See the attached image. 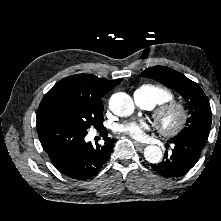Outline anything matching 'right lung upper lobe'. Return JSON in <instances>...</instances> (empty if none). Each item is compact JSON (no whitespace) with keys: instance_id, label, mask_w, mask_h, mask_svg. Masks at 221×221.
<instances>
[{"instance_id":"cb5924a9","label":"right lung upper lobe","mask_w":221,"mask_h":221,"mask_svg":"<svg viewBox=\"0 0 221 221\" xmlns=\"http://www.w3.org/2000/svg\"><path fill=\"white\" fill-rule=\"evenodd\" d=\"M121 81L122 79H101L91 74L66 77L45 94L37 111V120L46 119V112L67 102L80 101L103 105L101 98Z\"/></svg>"}]
</instances>
